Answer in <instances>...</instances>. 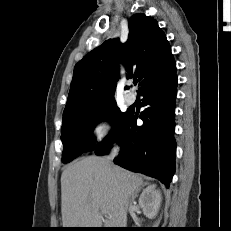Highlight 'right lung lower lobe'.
I'll use <instances>...</instances> for the list:
<instances>
[{
  "label": "right lung lower lobe",
  "instance_id": "1",
  "mask_svg": "<svg viewBox=\"0 0 231 231\" xmlns=\"http://www.w3.org/2000/svg\"><path fill=\"white\" fill-rule=\"evenodd\" d=\"M176 73L168 78L144 86L139 94L143 106L136 125L137 114L129 111L114 137L121 145L114 163L134 172H140L161 181L166 187L175 173L176 142L173 137L175 123ZM112 140L94 150L96 155L107 154Z\"/></svg>",
  "mask_w": 231,
  "mask_h": 231
}]
</instances>
